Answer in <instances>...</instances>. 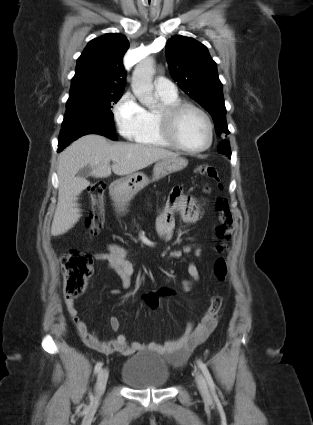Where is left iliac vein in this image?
Instances as JSON below:
<instances>
[{"mask_svg":"<svg viewBox=\"0 0 313 425\" xmlns=\"http://www.w3.org/2000/svg\"><path fill=\"white\" fill-rule=\"evenodd\" d=\"M195 379H196V384H197V387H198L200 393L204 397L208 398L209 397V391H208L207 383H206L203 375L200 372H196L195 373Z\"/></svg>","mask_w":313,"mask_h":425,"instance_id":"obj_1","label":"left iliac vein"}]
</instances>
